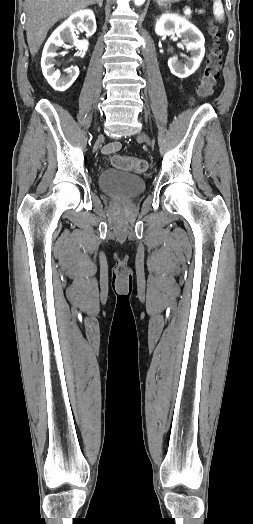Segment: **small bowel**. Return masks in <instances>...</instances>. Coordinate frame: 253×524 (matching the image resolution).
<instances>
[{
	"mask_svg": "<svg viewBox=\"0 0 253 524\" xmlns=\"http://www.w3.org/2000/svg\"><path fill=\"white\" fill-rule=\"evenodd\" d=\"M186 103L188 105H194L196 103V98L194 96H188L186 98ZM120 148H121V143L115 141V142H111V143L106 144L103 147L102 151H103V154L109 155V154H113V153L119 151Z\"/></svg>",
	"mask_w": 253,
	"mask_h": 524,
	"instance_id": "obj_1",
	"label": "small bowel"
}]
</instances>
